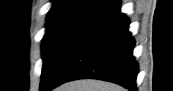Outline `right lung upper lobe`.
Listing matches in <instances>:
<instances>
[{
	"mask_svg": "<svg viewBox=\"0 0 173 91\" xmlns=\"http://www.w3.org/2000/svg\"><path fill=\"white\" fill-rule=\"evenodd\" d=\"M106 0H54L47 16V25L62 22L86 23L100 12L108 9L102 3ZM118 3L117 0H113Z\"/></svg>",
	"mask_w": 173,
	"mask_h": 91,
	"instance_id": "cb5924a9",
	"label": "right lung upper lobe"
}]
</instances>
